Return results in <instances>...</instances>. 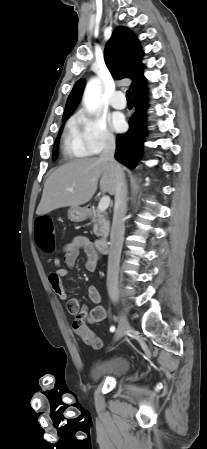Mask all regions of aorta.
I'll list each match as a JSON object with an SVG mask.
<instances>
[{
	"label": "aorta",
	"instance_id": "762f6f07",
	"mask_svg": "<svg viewBox=\"0 0 207 449\" xmlns=\"http://www.w3.org/2000/svg\"><path fill=\"white\" fill-rule=\"evenodd\" d=\"M101 83L97 78L91 79L84 90L83 102L89 113H94L101 104Z\"/></svg>",
	"mask_w": 207,
	"mask_h": 449
}]
</instances>
